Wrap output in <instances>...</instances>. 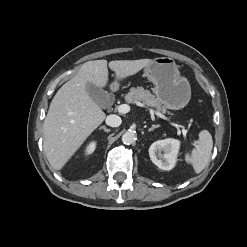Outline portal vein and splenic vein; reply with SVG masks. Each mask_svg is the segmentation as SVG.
<instances>
[{"mask_svg":"<svg viewBox=\"0 0 247 247\" xmlns=\"http://www.w3.org/2000/svg\"><path fill=\"white\" fill-rule=\"evenodd\" d=\"M139 106H143V104L141 103H138ZM118 112L119 113H128L130 111V106L128 104H121L118 106ZM151 112H154L153 110H151ZM157 116H159L160 118H163V119H167V117H165L164 115H162L161 113L159 112H154ZM178 128H180L182 130V133L184 136H186V133H187V130L181 126V125H177Z\"/></svg>","mask_w":247,"mask_h":247,"instance_id":"18ae733b","label":"portal vein and splenic vein"}]
</instances>
